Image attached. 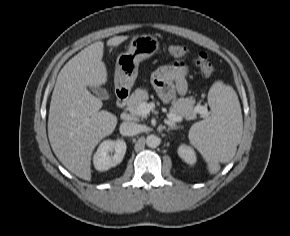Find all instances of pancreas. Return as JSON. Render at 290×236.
I'll use <instances>...</instances> for the list:
<instances>
[{"instance_id": "pancreas-1", "label": "pancreas", "mask_w": 290, "mask_h": 236, "mask_svg": "<svg viewBox=\"0 0 290 236\" xmlns=\"http://www.w3.org/2000/svg\"><path fill=\"white\" fill-rule=\"evenodd\" d=\"M149 99V94L146 89L138 88L130 96L126 109L130 112L133 120H137L141 114L138 113V107L142 103H147ZM195 106V100L191 97L187 98H178L172 102L171 107L169 108L170 113L181 116L186 120H193L196 118L197 113H199ZM145 117V116H142Z\"/></svg>"}]
</instances>
